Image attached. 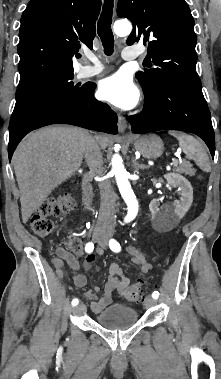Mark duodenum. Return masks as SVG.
I'll return each instance as SVG.
<instances>
[{"label":"duodenum","mask_w":221,"mask_h":379,"mask_svg":"<svg viewBox=\"0 0 221 379\" xmlns=\"http://www.w3.org/2000/svg\"><path fill=\"white\" fill-rule=\"evenodd\" d=\"M85 205L87 209H90L91 207V201H92V191L89 187L85 188Z\"/></svg>","instance_id":"obj_1"}]
</instances>
